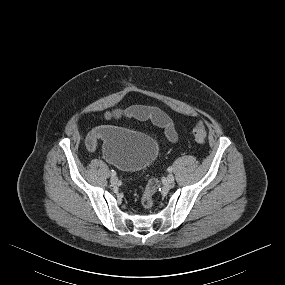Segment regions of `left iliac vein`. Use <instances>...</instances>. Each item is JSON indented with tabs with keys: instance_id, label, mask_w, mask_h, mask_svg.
Segmentation results:
<instances>
[{
	"instance_id": "obj_1",
	"label": "left iliac vein",
	"mask_w": 285,
	"mask_h": 285,
	"mask_svg": "<svg viewBox=\"0 0 285 285\" xmlns=\"http://www.w3.org/2000/svg\"><path fill=\"white\" fill-rule=\"evenodd\" d=\"M174 181H175L174 176H173L172 174H169V175L167 176V182H168L169 184H173Z\"/></svg>"
}]
</instances>
